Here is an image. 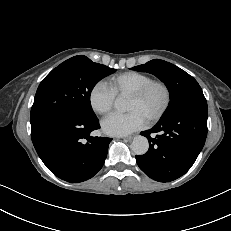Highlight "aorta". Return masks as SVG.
<instances>
[{
  "label": "aorta",
  "instance_id": "1",
  "mask_svg": "<svg viewBox=\"0 0 231 231\" xmlns=\"http://www.w3.org/2000/svg\"><path fill=\"white\" fill-rule=\"evenodd\" d=\"M115 107L119 111H125L127 103L123 98H117L115 100ZM131 149L137 155L145 154L149 149V142L147 138L141 135L134 137L131 143Z\"/></svg>",
  "mask_w": 231,
  "mask_h": 231
}]
</instances>
